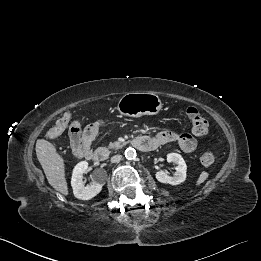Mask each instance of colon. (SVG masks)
I'll use <instances>...</instances> for the list:
<instances>
[{"mask_svg":"<svg viewBox=\"0 0 261 261\" xmlns=\"http://www.w3.org/2000/svg\"><path fill=\"white\" fill-rule=\"evenodd\" d=\"M187 117L189 118L192 126V131L196 136H203L208 133L209 124L206 118L194 107L186 109ZM66 128H69L71 141H77L82 128V123L79 120H72L70 114H64L58 122L49 130L48 137L56 138L60 136ZM213 138V134H210ZM200 163L203 166H210L215 161V155L208 151L204 152L200 158Z\"/></svg>","mask_w":261,"mask_h":261,"instance_id":"5ec220e1","label":"colon"}]
</instances>
